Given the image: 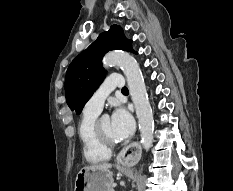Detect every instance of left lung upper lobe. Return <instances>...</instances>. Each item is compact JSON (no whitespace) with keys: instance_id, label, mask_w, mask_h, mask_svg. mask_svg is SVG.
<instances>
[{"instance_id":"5c2ea615","label":"left lung upper lobe","mask_w":233,"mask_h":191,"mask_svg":"<svg viewBox=\"0 0 233 191\" xmlns=\"http://www.w3.org/2000/svg\"><path fill=\"white\" fill-rule=\"evenodd\" d=\"M131 44L132 41L125 37L122 28L113 25L72 61L65 79L66 102L71 110L80 114L104 79L105 70L101 62L103 56L115 49L136 53Z\"/></svg>"}]
</instances>
